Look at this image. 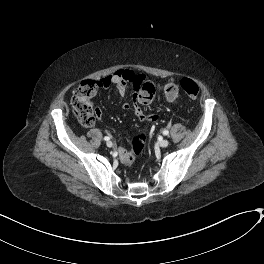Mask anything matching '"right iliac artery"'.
<instances>
[{"instance_id": "82829eb1", "label": "right iliac artery", "mask_w": 264, "mask_h": 264, "mask_svg": "<svg viewBox=\"0 0 264 264\" xmlns=\"http://www.w3.org/2000/svg\"><path fill=\"white\" fill-rule=\"evenodd\" d=\"M104 140H105V141H109L110 138H109L108 136H105V137H104Z\"/></svg>"}]
</instances>
